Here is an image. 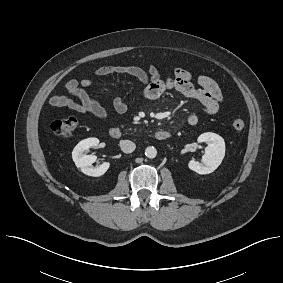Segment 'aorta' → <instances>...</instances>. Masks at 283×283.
<instances>
[{"label": "aorta", "instance_id": "1", "mask_svg": "<svg viewBox=\"0 0 283 283\" xmlns=\"http://www.w3.org/2000/svg\"><path fill=\"white\" fill-rule=\"evenodd\" d=\"M145 155H146V157H148V158H150V159L155 158L156 155H157V150H156V148L153 147V146L147 147L146 150H145Z\"/></svg>", "mask_w": 283, "mask_h": 283}]
</instances>
